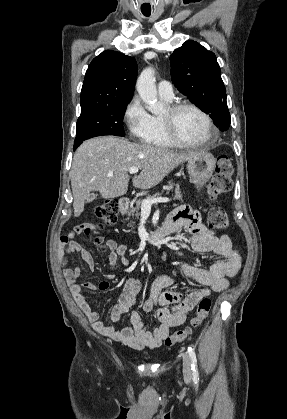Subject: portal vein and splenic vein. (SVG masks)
Wrapping results in <instances>:
<instances>
[{"instance_id": "18ae733b", "label": "portal vein and splenic vein", "mask_w": 287, "mask_h": 419, "mask_svg": "<svg viewBox=\"0 0 287 419\" xmlns=\"http://www.w3.org/2000/svg\"><path fill=\"white\" fill-rule=\"evenodd\" d=\"M139 168L138 167H131L129 168V173L130 174H136L138 173ZM169 201V198L167 197H158V198H153V199H144L142 201L141 204V209L145 210V211H150L151 210V206L154 203H166Z\"/></svg>"}]
</instances>
